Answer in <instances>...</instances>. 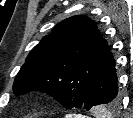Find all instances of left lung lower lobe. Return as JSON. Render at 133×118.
<instances>
[{
  "label": "left lung lower lobe",
  "mask_w": 133,
  "mask_h": 118,
  "mask_svg": "<svg viewBox=\"0 0 133 118\" xmlns=\"http://www.w3.org/2000/svg\"><path fill=\"white\" fill-rule=\"evenodd\" d=\"M120 99L115 61L113 55L109 54L106 64L86 96L84 107L89 110L95 106H101L104 110H109L107 105L115 101L120 102Z\"/></svg>",
  "instance_id": "0a47b994"
}]
</instances>
